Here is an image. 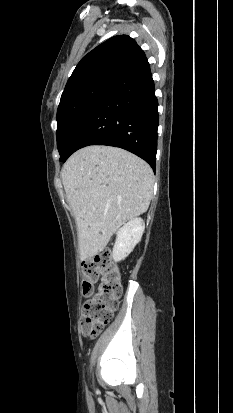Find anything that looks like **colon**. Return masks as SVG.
<instances>
[{
    "instance_id": "5ec220e1",
    "label": "colon",
    "mask_w": 233,
    "mask_h": 413,
    "mask_svg": "<svg viewBox=\"0 0 233 413\" xmlns=\"http://www.w3.org/2000/svg\"><path fill=\"white\" fill-rule=\"evenodd\" d=\"M84 295L92 297L84 304L81 332L86 337L97 336L111 321L122 293L120 272L108 250L86 260L82 265Z\"/></svg>"
}]
</instances>
